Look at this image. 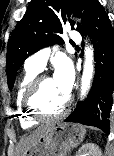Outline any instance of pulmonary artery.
Segmentation results:
<instances>
[{
  "instance_id": "e3ab8cb5",
  "label": "pulmonary artery",
  "mask_w": 114,
  "mask_h": 156,
  "mask_svg": "<svg viewBox=\"0 0 114 156\" xmlns=\"http://www.w3.org/2000/svg\"><path fill=\"white\" fill-rule=\"evenodd\" d=\"M69 37L75 42H79L81 40V37L78 32L76 31H70ZM50 48H44L40 51L36 52L35 54L31 55L27 60L25 65L27 67L34 68L36 70L42 71L46 65V62L48 60V57L50 55Z\"/></svg>"
}]
</instances>
